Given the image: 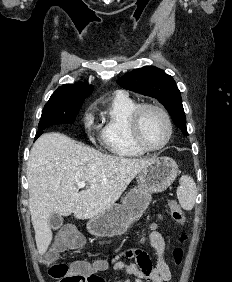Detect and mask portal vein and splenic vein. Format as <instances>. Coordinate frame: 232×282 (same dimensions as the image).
Here are the masks:
<instances>
[{
  "label": "portal vein and splenic vein",
  "mask_w": 232,
  "mask_h": 282,
  "mask_svg": "<svg viewBox=\"0 0 232 282\" xmlns=\"http://www.w3.org/2000/svg\"><path fill=\"white\" fill-rule=\"evenodd\" d=\"M85 186H86V182H84V181H80V182L77 183L78 188H84Z\"/></svg>",
  "instance_id": "1"
}]
</instances>
